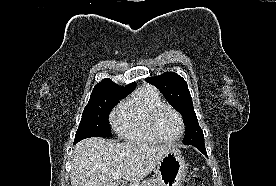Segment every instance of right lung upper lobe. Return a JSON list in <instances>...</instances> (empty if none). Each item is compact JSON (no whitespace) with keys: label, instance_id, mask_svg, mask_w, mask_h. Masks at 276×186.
Wrapping results in <instances>:
<instances>
[{"label":"right lung upper lobe","instance_id":"1","mask_svg":"<svg viewBox=\"0 0 276 186\" xmlns=\"http://www.w3.org/2000/svg\"><path fill=\"white\" fill-rule=\"evenodd\" d=\"M135 86H136V83L133 82L127 85L126 87H120L116 85L114 82H112V80L110 79H103L94 87L92 93H116V94L128 95L133 91Z\"/></svg>","mask_w":276,"mask_h":186}]
</instances>
